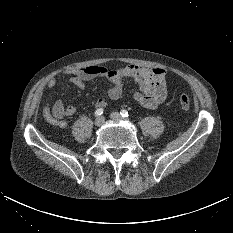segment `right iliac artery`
<instances>
[{
  "label": "right iliac artery",
  "mask_w": 233,
  "mask_h": 233,
  "mask_svg": "<svg viewBox=\"0 0 233 233\" xmlns=\"http://www.w3.org/2000/svg\"><path fill=\"white\" fill-rule=\"evenodd\" d=\"M103 114V109H97L96 111H95V116H100V115H102Z\"/></svg>",
  "instance_id": "82829eb1"
}]
</instances>
